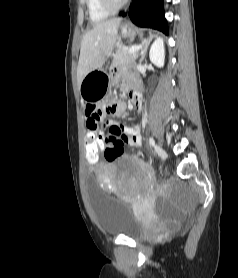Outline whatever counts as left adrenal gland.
Returning a JSON list of instances; mask_svg holds the SVG:
<instances>
[{"label":"left adrenal gland","mask_w":238,"mask_h":278,"mask_svg":"<svg viewBox=\"0 0 238 278\" xmlns=\"http://www.w3.org/2000/svg\"><path fill=\"white\" fill-rule=\"evenodd\" d=\"M153 38H154V35L151 34L148 38H146L142 41V49H141V53H140L141 54L140 63H142V61L144 60L148 46Z\"/></svg>","instance_id":"left-adrenal-gland-1"}]
</instances>
